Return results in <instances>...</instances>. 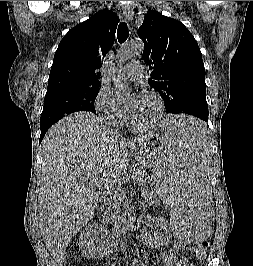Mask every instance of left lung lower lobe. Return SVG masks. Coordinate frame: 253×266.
Segmentation results:
<instances>
[{
	"instance_id": "obj_1",
	"label": "left lung lower lobe",
	"mask_w": 253,
	"mask_h": 266,
	"mask_svg": "<svg viewBox=\"0 0 253 266\" xmlns=\"http://www.w3.org/2000/svg\"><path fill=\"white\" fill-rule=\"evenodd\" d=\"M201 125H202V122H199V121L198 122L197 121L195 122V127H200Z\"/></svg>"
}]
</instances>
